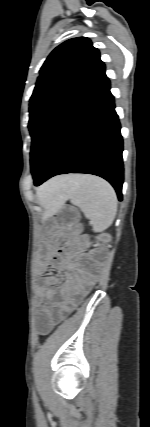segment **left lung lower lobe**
<instances>
[{
  "label": "left lung lower lobe",
  "mask_w": 150,
  "mask_h": 427,
  "mask_svg": "<svg viewBox=\"0 0 150 427\" xmlns=\"http://www.w3.org/2000/svg\"><path fill=\"white\" fill-rule=\"evenodd\" d=\"M110 82L103 72L32 136L35 186L52 176L89 173L103 177L122 200L123 141Z\"/></svg>",
  "instance_id": "obj_1"
}]
</instances>
